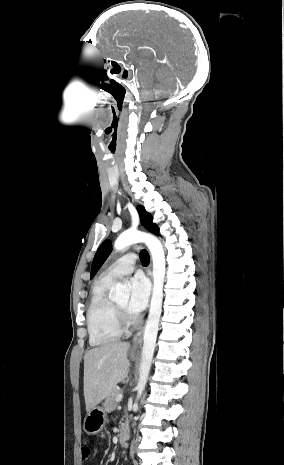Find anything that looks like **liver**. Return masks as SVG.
Here are the masks:
<instances>
[{"label": "liver", "mask_w": 284, "mask_h": 465, "mask_svg": "<svg viewBox=\"0 0 284 465\" xmlns=\"http://www.w3.org/2000/svg\"><path fill=\"white\" fill-rule=\"evenodd\" d=\"M129 343H105L84 355V399L86 411L96 409L117 383L126 379L130 363Z\"/></svg>", "instance_id": "obj_1"}]
</instances>
